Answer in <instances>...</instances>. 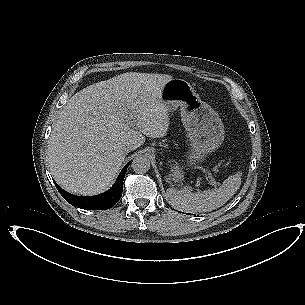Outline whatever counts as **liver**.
<instances>
[{
    "label": "liver",
    "mask_w": 305,
    "mask_h": 305,
    "mask_svg": "<svg viewBox=\"0 0 305 305\" xmlns=\"http://www.w3.org/2000/svg\"><path fill=\"white\" fill-rule=\"evenodd\" d=\"M170 75L151 88L113 77L80 90L63 107L48 141L52 176L66 191L92 196L115 179L126 144L139 147L145 136L160 138L169 128L160 94Z\"/></svg>",
    "instance_id": "1"
}]
</instances>
